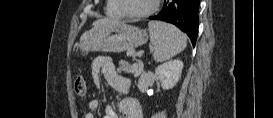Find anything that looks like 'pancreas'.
Listing matches in <instances>:
<instances>
[{
	"mask_svg": "<svg viewBox=\"0 0 273 118\" xmlns=\"http://www.w3.org/2000/svg\"><path fill=\"white\" fill-rule=\"evenodd\" d=\"M119 69L126 73H135L138 71V65L137 64L131 65L127 63L126 61L121 60L119 62Z\"/></svg>",
	"mask_w": 273,
	"mask_h": 118,
	"instance_id": "1",
	"label": "pancreas"
}]
</instances>
